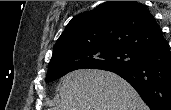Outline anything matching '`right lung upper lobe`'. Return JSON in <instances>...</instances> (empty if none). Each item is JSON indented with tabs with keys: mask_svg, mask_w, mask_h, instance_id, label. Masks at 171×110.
<instances>
[{
	"mask_svg": "<svg viewBox=\"0 0 171 110\" xmlns=\"http://www.w3.org/2000/svg\"><path fill=\"white\" fill-rule=\"evenodd\" d=\"M164 40L159 25L142 3L108 1L68 23L53 47L52 58L96 48L141 52Z\"/></svg>",
	"mask_w": 171,
	"mask_h": 110,
	"instance_id": "right-lung-upper-lobe-1",
	"label": "right lung upper lobe"
}]
</instances>
